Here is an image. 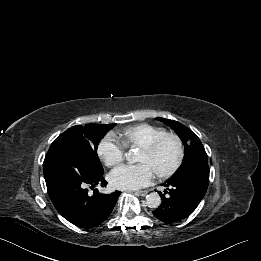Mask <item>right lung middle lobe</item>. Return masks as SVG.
<instances>
[{
	"instance_id": "right-lung-middle-lobe-1",
	"label": "right lung middle lobe",
	"mask_w": 261,
	"mask_h": 261,
	"mask_svg": "<svg viewBox=\"0 0 261 261\" xmlns=\"http://www.w3.org/2000/svg\"><path fill=\"white\" fill-rule=\"evenodd\" d=\"M113 126L88 124L84 128L77 125L61 134L50 146L43 167H59L69 164L71 155L80 152L85 168L103 174V167L97 155V147L102 137Z\"/></svg>"
}]
</instances>
